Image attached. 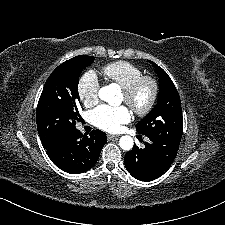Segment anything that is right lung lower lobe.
Wrapping results in <instances>:
<instances>
[{"label": "right lung lower lobe", "mask_w": 225, "mask_h": 225, "mask_svg": "<svg viewBox=\"0 0 225 225\" xmlns=\"http://www.w3.org/2000/svg\"><path fill=\"white\" fill-rule=\"evenodd\" d=\"M106 142V134L100 130H93L87 137L75 129L45 149L58 168L70 174H79L96 164Z\"/></svg>", "instance_id": "right-lung-lower-lobe-1"}]
</instances>
